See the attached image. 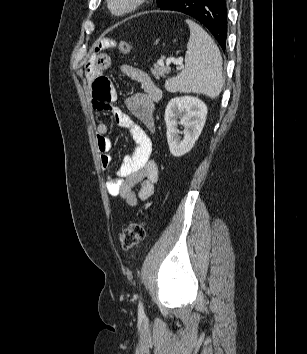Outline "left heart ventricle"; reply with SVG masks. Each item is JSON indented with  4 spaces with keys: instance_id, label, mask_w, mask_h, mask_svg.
Here are the masks:
<instances>
[{
    "instance_id": "1",
    "label": "left heart ventricle",
    "mask_w": 307,
    "mask_h": 354,
    "mask_svg": "<svg viewBox=\"0 0 307 354\" xmlns=\"http://www.w3.org/2000/svg\"><path fill=\"white\" fill-rule=\"evenodd\" d=\"M126 0H116V7L121 8L125 4Z\"/></svg>"
}]
</instances>
